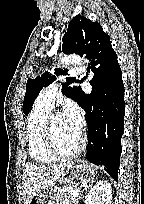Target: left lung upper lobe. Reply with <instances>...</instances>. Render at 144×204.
Segmentation results:
<instances>
[{
    "label": "left lung upper lobe",
    "instance_id": "left-lung-upper-lobe-1",
    "mask_svg": "<svg viewBox=\"0 0 144 204\" xmlns=\"http://www.w3.org/2000/svg\"><path fill=\"white\" fill-rule=\"evenodd\" d=\"M62 51L65 54L76 53L85 55L93 67L107 68L117 61V55L112 48L110 37L103 31L102 26L97 22L83 17L75 16L69 23L67 32L63 37ZM56 75H68L67 70H55ZM56 79L47 71L35 79H29L26 84V94L23 102V112L28 114L32 108L34 100L44 86H48ZM71 82H76L74 78H67L63 85L62 92L67 97L80 104L83 91L81 87L71 86Z\"/></svg>",
    "mask_w": 144,
    "mask_h": 204
}]
</instances>
